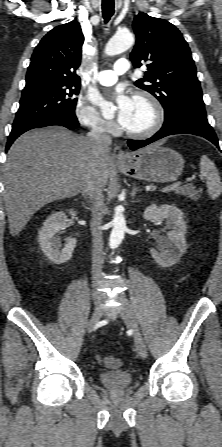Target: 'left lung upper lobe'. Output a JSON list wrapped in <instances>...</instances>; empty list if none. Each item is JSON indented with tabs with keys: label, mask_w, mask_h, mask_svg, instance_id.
<instances>
[{
	"label": "left lung upper lobe",
	"mask_w": 222,
	"mask_h": 447,
	"mask_svg": "<svg viewBox=\"0 0 222 447\" xmlns=\"http://www.w3.org/2000/svg\"><path fill=\"white\" fill-rule=\"evenodd\" d=\"M133 29L137 40L131 61L134 66L147 62L148 67L136 86L161 102L165 119L175 112L206 118L196 67L180 31L168 21L145 13L135 16Z\"/></svg>",
	"instance_id": "5c2ea615"
}]
</instances>
